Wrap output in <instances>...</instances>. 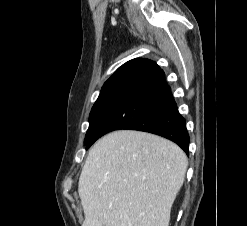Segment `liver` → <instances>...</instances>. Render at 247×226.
I'll return each instance as SVG.
<instances>
[{
    "instance_id": "liver-1",
    "label": "liver",
    "mask_w": 247,
    "mask_h": 226,
    "mask_svg": "<svg viewBox=\"0 0 247 226\" xmlns=\"http://www.w3.org/2000/svg\"><path fill=\"white\" fill-rule=\"evenodd\" d=\"M187 167L182 149L162 137L129 130L105 135L79 178L82 226H168Z\"/></svg>"
}]
</instances>
